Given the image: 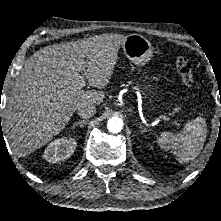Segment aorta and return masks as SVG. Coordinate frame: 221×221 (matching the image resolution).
Masks as SVG:
<instances>
[{
  "label": "aorta",
  "instance_id": "1",
  "mask_svg": "<svg viewBox=\"0 0 221 221\" xmlns=\"http://www.w3.org/2000/svg\"><path fill=\"white\" fill-rule=\"evenodd\" d=\"M123 128V121L120 117H112L107 122V129L111 133H119Z\"/></svg>",
  "mask_w": 221,
  "mask_h": 221
}]
</instances>
